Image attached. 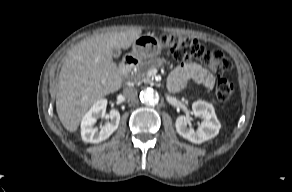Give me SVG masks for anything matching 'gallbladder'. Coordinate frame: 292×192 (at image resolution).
I'll return each mask as SVG.
<instances>
[{"mask_svg":"<svg viewBox=\"0 0 292 192\" xmlns=\"http://www.w3.org/2000/svg\"><path fill=\"white\" fill-rule=\"evenodd\" d=\"M120 54H121L120 49H117V48L112 49V57L113 58H118L120 56Z\"/></svg>","mask_w":292,"mask_h":192,"instance_id":"1","label":"gallbladder"}]
</instances>
